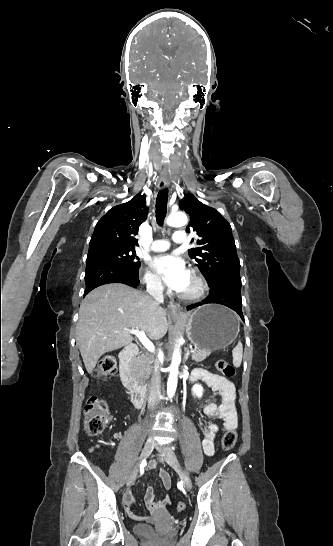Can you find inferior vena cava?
<instances>
[{"instance_id": "602c4592", "label": "inferior vena cava", "mask_w": 333, "mask_h": 546, "mask_svg": "<svg viewBox=\"0 0 333 546\" xmlns=\"http://www.w3.org/2000/svg\"><path fill=\"white\" fill-rule=\"evenodd\" d=\"M147 292L151 295L157 303H163V285L160 280L152 279L147 283ZM161 398L160 381L157 376H153L149 387V400L148 406L153 409L158 404Z\"/></svg>"}]
</instances>
